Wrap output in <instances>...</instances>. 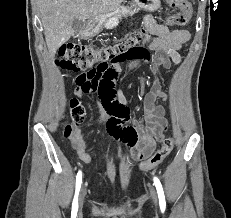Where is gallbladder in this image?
<instances>
[{
  "instance_id": "gallbladder-1",
  "label": "gallbladder",
  "mask_w": 231,
  "mask_h": 218,
  "mask_svg": "<svg viewBox=\"0 0 231 218\" xmlns=\"http://www.w3.org/2000/svg\"><path fill=\"white\" fill-rule=\"evenodd\" d=\"M84 26H85V22L83 20L79 18H75L72 22V28L74 31L73 36L77 37Z\"/></svg>"
}]
</instances>
